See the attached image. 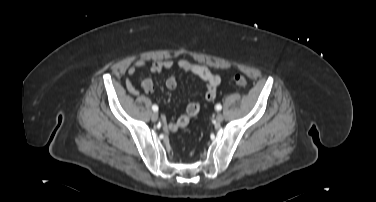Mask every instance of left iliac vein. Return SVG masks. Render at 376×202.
I'll return each mask as SVG.
<instances>
[{"label": "left iliac vein", "mask_w": 376, "mask_h": 202, "mask_svg": "<svg viewBox=\"0 0 376 202\" xmlns=\"http://www.w3.org/2000/svg\"><path fill=\"white\" fill-rule=\"evenodd\" d=\"M223 120H224L223 115H222L221 113H218V114L216 115L215 121H216L217 123H221Z\"/></svg>", "instance_id": "1"}]
</instances>
